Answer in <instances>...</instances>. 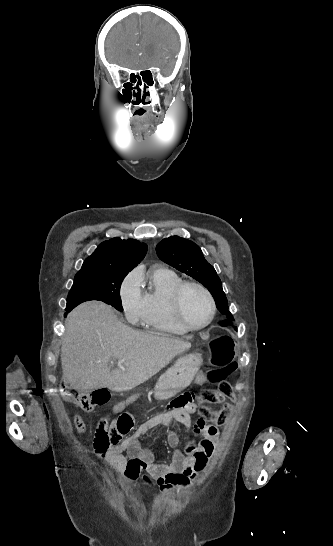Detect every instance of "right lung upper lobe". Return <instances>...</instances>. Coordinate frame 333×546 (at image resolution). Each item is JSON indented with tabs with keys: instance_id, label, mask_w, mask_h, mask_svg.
<instances>
[{
	"instance_id": "obj_1",
	"label": "right lung upper lobe",
	"mask_w": 333,
	"mask_h": 546,
	"mask_svg": "<svg viewBox=\"0 0 333 546\" xmlns=\"http://www.w3.org/2000/svg\"><path fill=\"white\" fill-rule=\"evenodd\" d=\"M147 252V245L134 239L122 240L118 237L102 242L94 253L83 263L76 275L95 267H108L116 270H132L141 262Z\"/></svg>"
}]
</instances>
